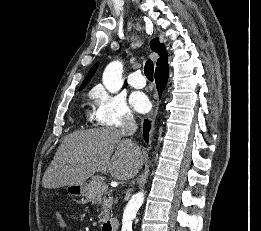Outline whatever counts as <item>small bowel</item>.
I'll return each mask as SVG.
<instances>
[{
  "label": "small bowel",
  "mask_w": 261,
  "mask_h": 231,
  "mask_svg": "<svg viewBox=\"0 0 261 231\" xmlns=\"http://www.w3.org/2000/svg\"><path fill=\"white\" fill-rule=\"evenodd\" d=\"M54 221H55L56 225L61 229H63L66 226L65 220L61 214L55 215Z\"/></svg>",
  "instance_id": "1"
}]
</instances>
